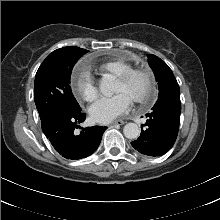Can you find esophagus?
Returning a JSON list of instances; mask_svg holds the SVG:
<instances>
[{"label":"esophagus","mask_w":220,"mask_h":220,"mask_svg":"<svg viewBox=\"0 0 220 220\" xmlns=\"http://www.w3.org/2000/svg\"><path fill=\"white\" fill-rule=\"evenodd\" d=\"M125 123H126V122H125L124 120L119 119V120L114 121L112 124H113V125H123V124H125Z\"/></svg>","instance_id":"34e87169"}]
</instances>
